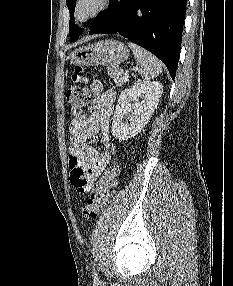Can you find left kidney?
<instances>
[{
	"instance_id": "left-kidney-1",
	"label": "left kidney",
	"mask_w": 233,
	"mask_h": 286,
	"mask_svg": "<svg viewBox=\"0 0 233 286\" xmlns=\"http://www.w3.org/2000/svg\"><path fill=\"white\" fill-rule=\"evenodd\" d=\"M162 92L161 83L140 80L130 89L124 90L114 112L112 135L120 141L136 136L154 113ZM129 112L132 115L128 122L125 118Z\"/></svg>"
}]
</instances>
